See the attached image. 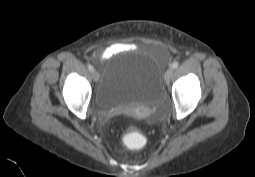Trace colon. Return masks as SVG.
Masks as SVG:
<instances>
[{
	"label": "colon",
	"instance_id": "5ec220e1",
	"mask_svg": "<svg viewBox=\"0 0 255 177\" xmlns=\"http://www.w3.org/2000/svg\"><path fill=\"white\" fill-rule=\"evenodd\" d=\"M125 145L132 149H139L143 144V137L136 132L126 135L123 139Z\"/></svg>",
	"mask_w": 255,
	"mask_h": 177
}]
</instances>
